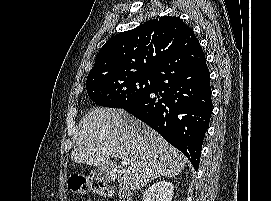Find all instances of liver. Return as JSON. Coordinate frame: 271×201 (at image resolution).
Listing matches in <instances>:
<instances>
[{"label":"liver","instance_id":"obj_1","mask_svg":"<svg viewBox=\"0 0 271 201\" xmlns=\"http://www.w3.org/2000/svg\"><path fill=\"white\" fill-rule=\"evenodd\" d=\"M110 157L131 160L127 169H116L119 185L125 190H137L161 176L173 178L186 163L183 154L126 111L93 108L83 117L71 159L101 166Z\"/></svg>","mask_w":271,"mask_h":201}]
</instances>
